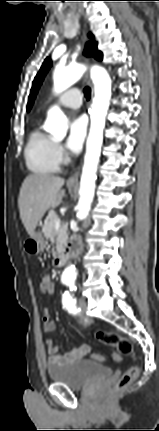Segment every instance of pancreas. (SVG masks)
Returning a JSON list of instances; mask_svg holds the SVG:
<instances>
[{"label": "pancreas", "mask_w": 159, "mask_h": 431, "mask_svg": "<svg viewBox=\"0 0 159 431\" xmlns=\"http://www.w3.org/2000/svg\"><path fill=\"white\" fill-rule=\"evenodd\" d=\"M57 218L58 215L53 210H50L45 219L42 231L47 239L56 244V249L60 250L67 241V227L62 225L56 230L55 220ZM52 253L56 254V251L52 249Z\"/></svg>", "instance_id": "obj_1"}]
</instances>
